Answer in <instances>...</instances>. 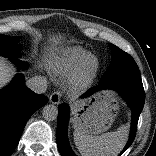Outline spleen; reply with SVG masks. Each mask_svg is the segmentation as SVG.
<instances>
[{"label":"spleen","instance_id":"spleen-1","mask_svg":"<svg viewBox=\"0 0 156 156\" xmlns=\"http://www.w3.org/2000/svg\"><path fill=\"white\" fill-rule=\"evenodd\" d=\"M73 136L81 156H117L126 143L127 126L100 136L93 135L87 128L75 126Z\"/></svg>","mask_w":156,"mask_h":156}]
</instances>
